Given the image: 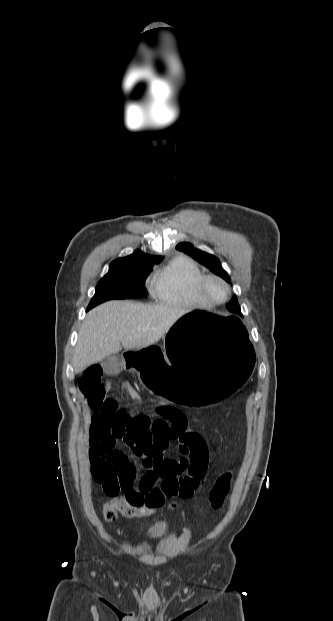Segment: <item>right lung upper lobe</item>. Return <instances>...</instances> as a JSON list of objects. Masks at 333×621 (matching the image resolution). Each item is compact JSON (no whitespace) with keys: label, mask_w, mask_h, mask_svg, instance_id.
I'll return each mask as SVG.
<instances>
[{"label":"right lung upper lobe","mask_w":333,"mask_h":621,"mask_svg":"<svg viewBox=\"0 0 333 621\" xmlns=\"http://www.w3.org/2000/svg\"><path fill=\"white\" fill-rule=\"evenodd\" d=\"M162 259L161 256H152L148 254L142 253L140 250H136L133 254L118 258L114 260L112 263H128V264H139L144 266H153L157 264Z\"/></svg>","instance_id":"1"}]
</instances>
